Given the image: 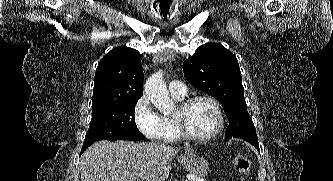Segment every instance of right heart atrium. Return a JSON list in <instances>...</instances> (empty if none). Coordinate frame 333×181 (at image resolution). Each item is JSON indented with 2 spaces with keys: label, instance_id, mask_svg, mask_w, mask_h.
I'll return each instance as SVG.
<instances>
[{
  "label": "right heart atrium",
  "instance_id": "obj_1",
  "mask_svg": "<svg viewBox=\"0 0 333 181\" xmlns=\"http://www.w3.org/2000/svg\"><path fill=\"white\" fill-rule=\"evenodd\" d=\"M133 119L138 130L150 139L167 140L173 130L172 123L152 107L146 96L135 103Z\"/></svg>",
  "mask_w": 333,
  "mask_h": 181
}]
</instances>
